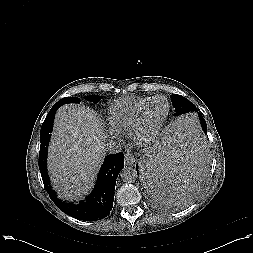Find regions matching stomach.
I'll return each mask as SVG.
<instances>
[{
    "label": "stomach",
    "instance_id": "obj_1",
    "mask_svg": "<svg viewBox=\"0 0 253 253\" xmlns=\"http://www.w3.org/2000/svg\"><path fill=\"white\" fill-rule=\"evenodd\" d=\"M147 159H148V158H145V159L143 160V163H142V171H144V164H145V162H146Z\"/></svg>",
    "mask_w": 253,
    "mask_h": 253
}]
</instances>
